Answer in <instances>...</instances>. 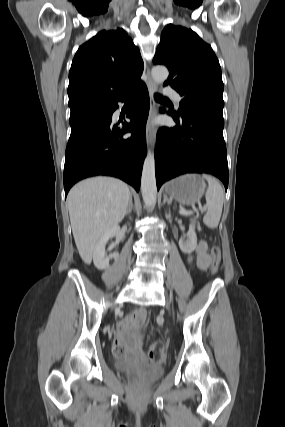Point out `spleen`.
Returning <instances> with one entry per match:
<instances>
[{
    "instance_id": "1",
    "label": "spleen",
    "mask_w": 285,
    "mask_h": 427,
    "mask_svg": "<svg viewBox=\"0 0 285 427\" xmlns=\"http://www.w3.org/2000/svg\"><path fill=\"white\" fill-rule=\"evenodd\" d=\"M208 182V188L205 194L207 212L203 218V222L209 228H216L220 222L224 191L220 183L212 176L203 175Z\"/></svg>"
}]
</instances>
